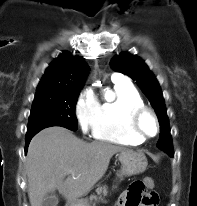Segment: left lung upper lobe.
<instances>
[{"label":"left lung upper lobe","instance_id":"5c2ea615","mask_svg":"<svg viewBox=\"0 0 197 206\" xmlns=\"http://www.w3.org/2000/svg\"><path fill=\"white\" fill-rule=\"evenodd\" d=\"M111 67L136 81L153 106L160 124V135L157 146L167 152L173 150L169 120L164 98L155 76L142 59L129 53H121L110 61Z\"/></svg>","mask_w":197,"mask_h":206}]
</instances>
